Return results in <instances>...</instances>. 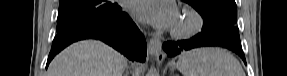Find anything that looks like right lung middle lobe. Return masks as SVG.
<instances>
[{"label": "right lung middle lobe", "instance_id": "dd1d6c3e", "mask_svg": "<svg viewBox=\"0 0 287 76\" xmlns=\"http://www.w3.org/2000/svg\"><path fill=\"white\" fill-rule=\"evenodd\" d=\"M121 13V7L108 0H60L57 32L61 33L84 23L111 19Z\"/></svg>", "mask_w": 287, "mask_h": 76}]
</instances>
